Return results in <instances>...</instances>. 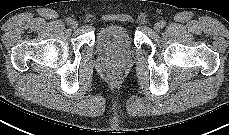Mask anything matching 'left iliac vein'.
Returning a JSON list of instances; mask_svg holds the SVG:
<instances>
[{
  "label": "left iliac vein",
  "instance_id": "left-iliac-vein-1",
  "mask_svg": "<svg viewBox=\"0 0 229 135\" xmlns=\"http://www.w3.org/2000/svg\"><path fill=\"white\" fill-rule=\"evenodd\" d=\"M160 29H161L160 23H156V24L154 25V30L158 32Z\"/></svg>",
  "mask_w": 229,
  "mask_h": 135
}]
</instances>
